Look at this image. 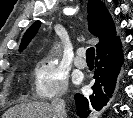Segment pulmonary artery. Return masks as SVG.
<instances>
[{
	"label": "pulmonary artery",
	"instance_id": "pulmonary-artery-1",
	"mask_svg": "<svg viewBox=\"0 0 133 118\" xmlns=\"http://www.w3.org/2000/svg\"><path fill=\"white\" fill-rule=\"evenodd\" d=\"M85 54V50L83 48H80L76 52V57L74 59V64L76 67L83 69L86 67V61L83 58Z\"/></svg>",
	"mask_w": 133,
	"mask_h": 118
}]
</instances>
